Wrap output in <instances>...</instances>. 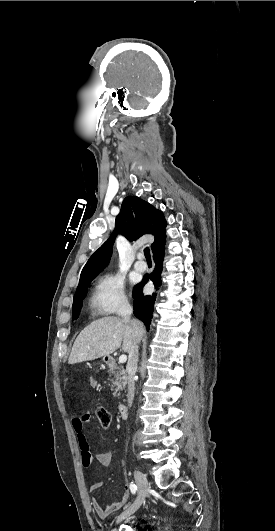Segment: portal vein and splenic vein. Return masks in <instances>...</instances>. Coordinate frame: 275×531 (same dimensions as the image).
Returning <instances> with one entry per match:
<instances>
[{
    "mask_svg": "<svg viewBox=\"0 0 275 531\" xmlns=\"http://www.w3.org/2000/svg\"><path fill=\"white\" fill-rule=\"evenodd\" d=\"M126 361H127L126 355H121V357H119V363H126Z\"/></svg>",
    "mask_w": 275,
    "mask_h": 531,
    "instance_id": "portal-vein-and-splenic-vein-1",
    "label": "portal vein and splenic vein"
}]
</instances>
